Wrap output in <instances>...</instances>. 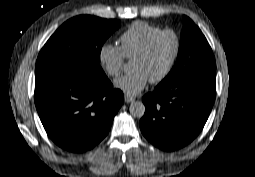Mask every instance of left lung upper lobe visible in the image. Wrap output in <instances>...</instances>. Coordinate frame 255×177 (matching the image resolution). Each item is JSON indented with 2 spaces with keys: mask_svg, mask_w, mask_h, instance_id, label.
<instances>
[{
  "mask_svg": "<svg viewBox=\"0 0 255 177\" xmlns=\"http://www.w3.org/2000/svg\"><path fill=\"white\" fill-rule=\"evenodd\" d=\"M184 20L177 61L158 86L170 85L202 71H215V58L205 36L190 18Z\"/></svg>",
  "mask_w": 255,
  "mask_h": 177,
  "instance_id": "5c2ea615",
  "label": "left lung upper lobe"
}]
</instances>
